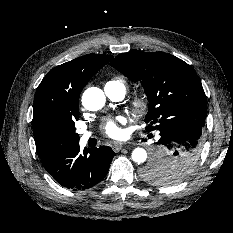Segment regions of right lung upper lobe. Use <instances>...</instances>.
<instances>
[{
	"instance_id": "obj_1",
	"label": "right lung upper lobe",
	"mask_w": 233,
	"mask_h": 233,
	"mask_svg": "<svg viewBox=\"0 0 233 233\" xmlns=\"http://www.w3.org/2000/svg\"><path fill=\"white\" fill-rule=\"evenodd\" d=\"M112 58V55L88 54L53 68L43 78L35 94L32 121L39 154L42 129L56 118L79 111L82 89Z\"/></svg>"
}]
</instances>
